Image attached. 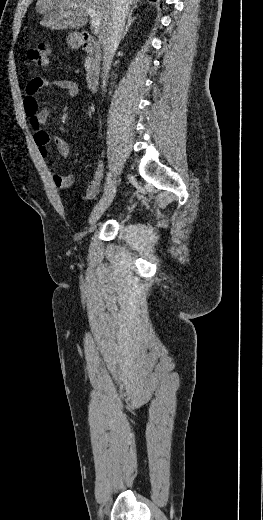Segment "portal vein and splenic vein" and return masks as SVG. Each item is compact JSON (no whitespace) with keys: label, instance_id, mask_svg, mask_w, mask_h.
Returning <instances> with one entry per match:
<instances>
[{"label":"portal vein and splenic vein","instance_id":"18ae733b","mask_svg":"<svg viewBox=\"0 0 263 520\" xmlns=\"http://www.w3.org/2000/svg\"><path fill=\"white\" fill-rule=\"evenodd\" d=\"M75 5H76L75 3H71L69 6L70 7H74ZM85 9H86L87 14L91 18V25H92L93 29L95 31H98L99 27H100V24H101L100 17L96 14V12L92 8L86 7Z\"/></svg>","mask_w":263,"mask_h":520}]
</instances>
